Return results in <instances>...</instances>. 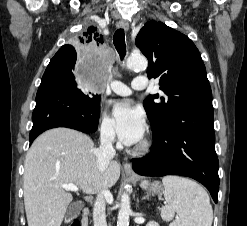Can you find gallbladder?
<instances>
[{
  "label": "gallbladder",
  "instance_id": "gallbladder-1",
  "mask_svg": "<svg viewBox=\"0 0 247 226\" xmlns=\"http://www.w3.org/2000/svg\"><path fill=\"white\" fill-rule=\"evenodd\" d=\"M82 209V204L79 202L71 203L66 210L65 221L68 222L78 216L80 210Z\"/></svg>",
  "mask_w": 247,
  "mask_h": 226
}]
</instances>
